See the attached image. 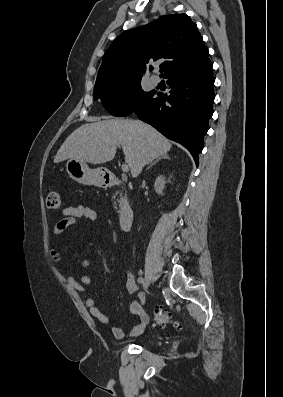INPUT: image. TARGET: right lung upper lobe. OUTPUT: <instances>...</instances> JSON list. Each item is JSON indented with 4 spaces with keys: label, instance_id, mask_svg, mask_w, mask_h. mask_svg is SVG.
<instances>
[{
    "label": "right lung upper lobe",
    "instance_id": "cb5924a9",
    "mask_svg": "<svg viewBox=\"0 0 283 397\" xmlns=\"http://www.w3.org/2000/svg\"><path fill=\"white\" fill-rule=\"evenodd\" d=\"M208 57L196 23L186 14L165 15L118 36L103 57L96 82L142 77L147 64L160 59L165 60V77Z\"/></svg>",
    "mask_w": 283,
    "mask_h": 397
}]
</instances>
